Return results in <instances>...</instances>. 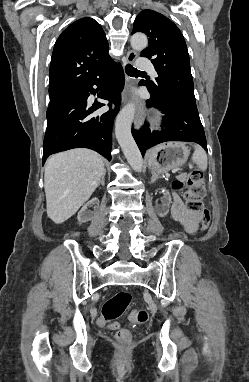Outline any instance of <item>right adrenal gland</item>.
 <instances>
[{
	"label": "right adrenal gland",
	"instance_id": "2a0ac1e0",
	"mask_svg": "<svg viewBox=\"0 0 249 382\" xmlns=\"http://www.w3.org/2000/svg\"><path fill=\"white\" fill-rule=\"evenodd\" d=\"M105 175H106V170L104 171V173H103V175H102V178H101V180L99 181V183H98V185L99 184H102L103 186H104V182H105Z\"/></svg>",
	"mask_w": 249,
	"mask_h": 382
}]
</instances>
